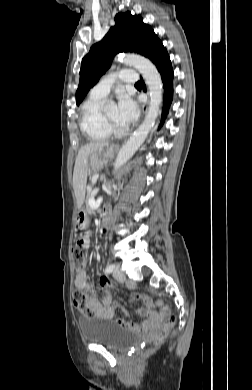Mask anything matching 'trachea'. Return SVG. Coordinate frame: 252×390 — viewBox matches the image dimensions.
I'll use <instances>...</instances> for the list:
<instances>
[{
    "mask_svg": "<svg viewBox=\"0 0 252 390\" xmlns=\"http://www.w3.org/2000/svg\"><path fill=\"white\" fill-rule=\"evenodd\" d=\"M135 86H141V82L135 83Z\"/></svg>",
    "mask_w": 252,
    "mask_h": 390,
    "instance_id": "3493384b",
    "label": "trachea"
}]
</instances>
